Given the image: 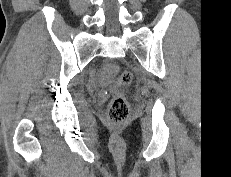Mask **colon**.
<instances>
[{"label":"colon","mask_w":231,"mask_h":177,"mask_svg":"<svg viewBox=\"0 0 231 177\" xmlns=\"http://www.w3.org/2000/svg\"><path fill=\"white\" fill-rule=\"evenodd\" d=\"M132 81L133 73L129 70L120 73L113 81V96L108 106V119L113 124H121L129 116L130 103L120 89L130 85Z\"/></svg>","instance_id":"obj_1"}]
</instances>
